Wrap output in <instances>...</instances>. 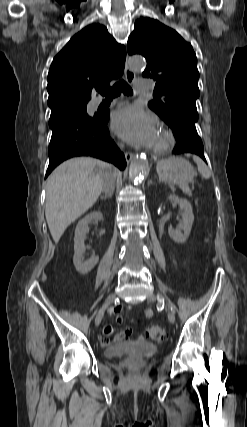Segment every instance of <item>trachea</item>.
<instances>
[{"instance_id": "1", "label": "trachea", "mask_w": 247, "mask_h": 427, "mask_svg": "<svg viewBox=\"0 0 247 427\" xmlns=\"http://www.w3.org/2000/svg\"><path fill=\"white\" fill-rule=\"evenodd\" d=\"M98 92L106 98L117 97L121 94V92H123L125 95L133 94L131 87L124 80L118 81L113 87L109 89L98 88Z\"/></svg>"}]
</instances>
